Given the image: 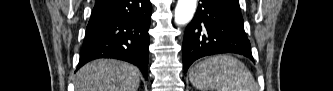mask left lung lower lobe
Returning <instances> with one entry per match:
<instances>
[{
	"label": "left lung lower lobe",
	"mask_w": 333,
	"mask_h": 91,
	"mask_svg": "<svg viewBox=\"0 0 333 91\" xmlns=\"http://www.w3.org/2000/svg\"><path fill=\"white\" fill-rule=\"evenodd\" d=\"M183 39L185 71L197 59L220 53H237L253 61L250 42L238 0H201Z\"/></svg>",
	"instance_id": "left-lung-lower-lobe-1"
}]
</instances>
